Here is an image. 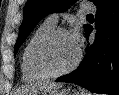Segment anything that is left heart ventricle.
Masks as SVG:
<instances>
[{
    "mask_svg": "<svg viewBox=\"0 0 119 95\" xmlns=\"http://www.w3.org/2000/svg\"><path fill=\"white\" fill-rule=\"evenodd\" d=\"M78 47L70 34H60L49 45L46 60L53 70L68 67L75 60Z\"/></svg>",
    "mask_w": 119,
    "mask_h": 95,
    "instance_id": "1",
    "label": "left heart ventricle"
}]
</instances>
